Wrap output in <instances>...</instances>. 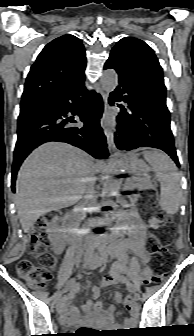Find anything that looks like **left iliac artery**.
<instances>
[{"label":"left iliac artery","instance_id":"44dca946","mask_svg":"<svg viewBox=\"0 0 194 336\" xmlns=\"http://www.w3.org/2000/svg\"><path fill=\"white\" fill-rule=\"evenodd\" d=\"M127 288L129 291H133V285L131 283H127Z\"/></svg>","mask_w":194,"mask_h":336}]
</instances>
